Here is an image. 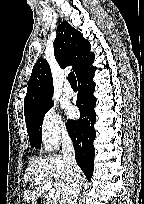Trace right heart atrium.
I'll return each instance as SVG.
<instances>
[{"mask_svg": "<svg viewBox=\"0 0 144 204\" xmlns=\"http://www.w3.org/2000/svg\"><path fill=\"white\" fill-rule=\"evenodd\" d=\"M41 142L45 149H55L59 143L68 137L65 122L55 108L47 109L40 121Z\"/></svg>", "mask_w": 144, "mask_h": 204, "instance_id": "1", "label": "right heart atrium"}]
</instances>
